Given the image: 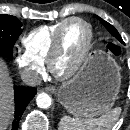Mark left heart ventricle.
Listing matches in <instances>:
<instances>
[{"mask_svg":"<svg viewBox=\"0 0 130 130\" xmlns=\"http://www.w3.org/2000/svg\"><path fill=\"white\" fill-rule=\"evenodd\" d=\"M88 38L87 29L79 22H71L64 30L62 50L56 61L59 71L71 68L83 52Z\"/></svg>","mask_w":130,"mask_h":130,"instance_id":"left-heart-ventricle-1","label":"left heart ventricle"}]
</instances>
